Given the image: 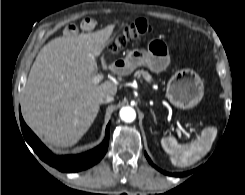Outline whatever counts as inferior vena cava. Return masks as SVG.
<instances>
[{
  "label": "inferior vena cava",
  "mask_w": 245,
  "mask_h": 195,
  "mask_svg": "<svg viewBox=\"0 0 245 195\" xmlns=\"http://www.w3.org/2000/svg\"><path fill=\"white\" fill-rule=\"evenodd\" d=\"M113 99H114L113 95H110V94H102V95L99 96L98 102L100 104H102V103H109V102L113 101Z\"/></svg>",
  "instance_id": "602c4592"
}]
</instances>
